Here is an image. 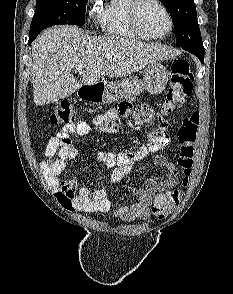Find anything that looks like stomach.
Returning a JSON list of instances; mask_svg holds the SVG:
<instances>
[{
  "instance_id": "stomach-1",
  "label": "stomach",
  "mask_w": 233,
  "mask_h": 294,
  "mask_svg": "<svg viewBox=\"0 0 233 294\" xmlns=\"http://www.w3.org/2000/svg\"><path fill=\"white\" fill-rule=\"evenodd\" d=\"M168 77L167 69L159 63H154L145 68L143 80L127 77L103 84V87L92 91L87 96L92 97L99 104H110L132 95H139L144 90L151 94H159L165 89Z\"/></svg>"
}]
</instances>
